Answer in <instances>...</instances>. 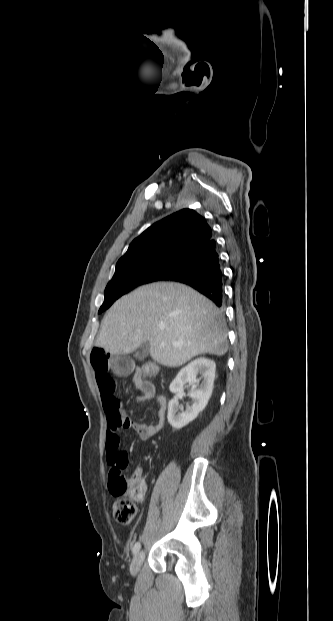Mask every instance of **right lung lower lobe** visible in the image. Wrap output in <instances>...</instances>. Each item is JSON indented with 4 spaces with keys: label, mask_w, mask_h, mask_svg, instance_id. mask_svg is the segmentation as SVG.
I'll return each mask as SVG.
<instances>
[{
    "label": "right lung lower lobe",
    "mask_w": 333,
    "mask_h": 621,
    "mask_svg": "<svg viewBox=\"0 0 333 621\" xmlns=\"http://www.w3.org/2000/svg\"><path fill=\"white\" fill-rule=\"evenodd\" d=\"M164 281L184 283L223 306V272L214 239L184 259Z\"/></svg>",
    "instance_id": "obj_1"
}]
</instances>
